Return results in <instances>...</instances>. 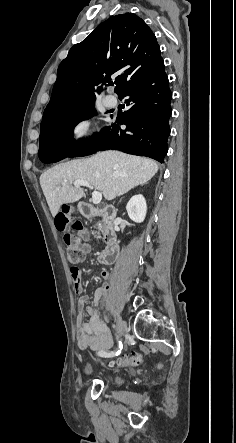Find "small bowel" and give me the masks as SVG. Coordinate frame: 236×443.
Returning a JSON list of instances; mask_svg holds the SVG:
<instances>
[{"instance_id": "1", "label": "small bowel", "mask_w": 236, "mask_h": 443, "mask_svg": "<svg viewBox=\"0 0 236 443\" xmlns=\"http://www.w3.org/2000/svg\"><path fill=\"white\" fill-rule=\"evenodd\" d=\"M89 234L87 230L82 231V239L87 240ZM81 248L85 253L90 252L91 247L87 243H83ZM74 290L77 294L81 295L78 300V309L86 311L90 316L89 321L84 322L82 315L77 317V342L80 349H91L94 351H106L113 346V339L108 329L107 324L99 317L95 306L89 305L88 297L83 295L84 286L81 281V275L77 268L70 269ZM109 276V272L103 269L100 273V278L105 281ZM108 291V286L103 283L94 292V300H99Z\"/></svg>"}]
</instances>
